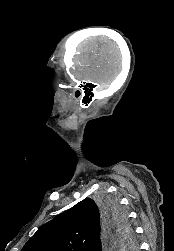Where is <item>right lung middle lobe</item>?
Returning a JSON list of instances; mask_svg holds the SVG:
<instances>
[{"instance_id": "obj_1", "label": "right lung middle lobe", "mask_w": 174, "mask_h": 251, "mask_svg": "<svg viewBox=\"0 0 174 251\" xmlns=\"http://www.w3.org/2000/svg\"><path fill=\"white\" fill-rule=\"evenodd\" d=\"M94 201V200H93ZM103 213L105 220L114 227V232L121 237V248L134 250L136 241L131 224L128 221L126 211L122 208L117 199L101 194L94 201Z\"/></svg>"}]
</instances>
